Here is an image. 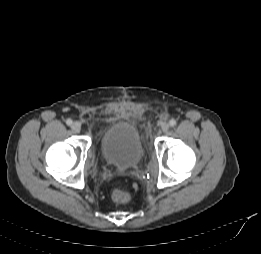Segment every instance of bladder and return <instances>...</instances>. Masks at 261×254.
<instances>
[{
	"label": "bladder",
	"instance_id": "obj_1",
	"mask_svg": "<svg viewBox=\"0 0 261 254\" xmlns=\"http://www.w3.org/2000/svg\"><path fill=\"white\" fill-rule=\"evenodd\" d=\"M100 146L104 160L121 170L135 167L144 154L138 129L127 122L108 127L101 137Z\"/></svg>",
	"mask_w": 261,
	"mask_h": 254
}]
</instances>
